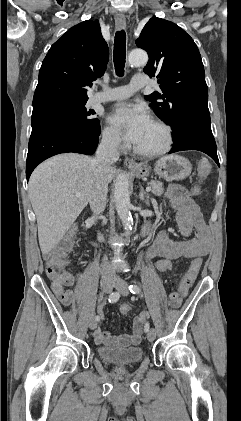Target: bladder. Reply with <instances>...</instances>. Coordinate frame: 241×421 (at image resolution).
Returning <instances> with one entry per match:
<instances>
[{
	"instance_id": "1",
	"label": "bladder",
	"mask_w": 241,
	"mask_h": 421,
	"mask_svg": "<svg viewBox=\"0 0 241 421\" xmlns=\"http://www.w3.org/2000/svg\"><path fill=\"white\" fill-rule=\"evenodd\" d=\"M97 354L103 361L120 366L138 363L143 358V350L139 346L126 348L99 346Z\"/></svg>"
}]
</instances>
